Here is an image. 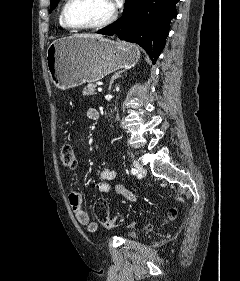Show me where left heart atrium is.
I'll list each match as a JSON object with an SVG mask.
<instances>
[{
	"label": "left heart atrium",
	"mask_w": 240,
	"mask_h": 281,
	"mask_svg": "<svg viewBox=\"0 0 240 281\" xmlns=\"http://www.w3.org/2000/svg\"><path fill=\"white\" fill-rule=\"evenodd\" d=\"M113 1H114L113 4H114V5H117L120 0H113Z\"/></svg>",
	"instance_id": "1"
}]
</instances>
